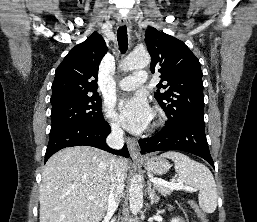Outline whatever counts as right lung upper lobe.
I'll list each match as a JSON object with an SVG mask.
<instances>
[{
    "mask_svg": "<svg viewBox=\"0 0 257 222\" xmlns=\"http://www.w3.org/2000/svg\"><path fill=\"white\" fill-rule=\"evenodd\" d=\"M106 52V43L97 32L71 49L55 71L50 101L98 95V69Z\"/></svg>",
    "mask_w": 257,
    "mask_h": 222,
    "instance_id": "1",
    "label": "right lung upper lobe"
}]
</instances>
